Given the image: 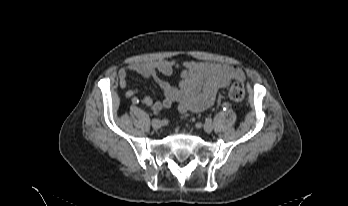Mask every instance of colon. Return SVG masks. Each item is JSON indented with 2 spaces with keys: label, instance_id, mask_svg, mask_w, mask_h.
Segmentation results:
<instances>
[{
  "label": "colon",
  "instance_id": "colon-1",
  "mask_svg": "<svg viewBox=\"0 0 348 206\" xmlns=\"http://www.w3.org/2000/svg\"><path fill=\"white\" fill-rule=\"evenodd\" d=\"M228 95L232 101L236 103L242 102L245 97V89L243 84L240 82L233 83L229 88Z\"/></svg>",
  "mask_w": 348,
  "mask_h": 206
}]
</instances>
